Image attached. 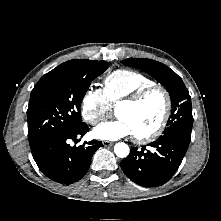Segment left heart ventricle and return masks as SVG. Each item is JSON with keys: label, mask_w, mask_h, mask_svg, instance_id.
I'll list each match as a JSON object with an SVG mask.
<instances>
[{"label": "left heart ventricle", "mask_w": 221, "mask_h": 221, "mask_svg": "<svg viewBox=\"0 0 221 221\" xmlns=\"http://www.w3.org/2000/svg\"><path fill=\"white\" fill-rule=\"evenodd\" d=\"M164 107L163 95L160 92H154L137 106L117 107L115 114L130 125L133 135H144L154 130L159 124Z\"/></svg>", "instance_id": "left-heart-ventricle-1"}]
</instances>
